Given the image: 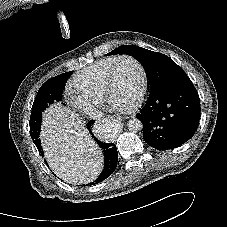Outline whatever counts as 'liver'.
<instances>
[{"label":"liver","instance_id":"1","mask_svg":"<svg viewBox=\"0 0 227 227\" xmlns=\"http://www.w3.org/2000/svg\"><path fill=\"white\" fill-rule=\"evenodd\" d=\"M50 168L65 182L90 183L102 169L101 152L77 115L52 105L44 114L40 134Z\"/></svg>","mask_w":227,"mask_h":227}]
</instances>
